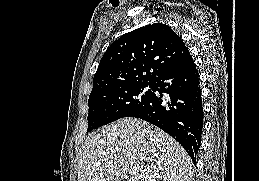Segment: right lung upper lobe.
I'll return each instance as SVG.
<instances>
[{
    "label": "right lung upper lobe",
    "mask_w": 259,
    "mask_h": 181,
    "mask_svg": "<svg viewBox=\"0 0 259 181\" xmlns=\"http://www.w3.org/2000/svg\"><path fill=\"white\" fill-rule=\"evenodd\" d=\"M188 54L182 39L165 24H149L128 32L112 43L101 58L90 96L153 83L160 73Z\"/></svg>",
    "instance_id": "right-lung-upper-lobe-1"
}]
</instances>
